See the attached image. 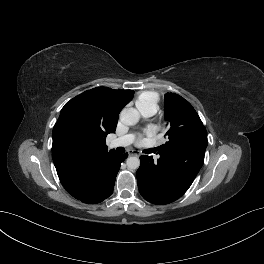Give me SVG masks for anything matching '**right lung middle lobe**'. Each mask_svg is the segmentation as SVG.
<instances>
[{"label":"right lung middle lobe","instance_id":"obj_1","mask_svg":"<svg viewBox=\"0 0 264 264\" xmlns=\"http://www.w3.org/2000/svg\"><path fill=\"white\" fill-rule=\"evenodd\" d=\"M59 128L76 140H86L91 136L86 107L81 102H74L61 110L58 119Z\"/></svg>","mask_w":264,"mask_h":264}]
</instances>
